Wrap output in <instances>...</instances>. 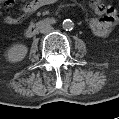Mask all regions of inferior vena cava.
I'll return each instance as SVG.
<instances>
[{
	"label": "inferior vena cava",
	"instance_id": "obj_1",
	"mask_svg": "<svg viewBox=\"0 0 119 119\" xmlns=\"http://www.w3.org/2000/svg\"><path fill=\"white\" fill-rule=\"evenodd\" d=\"M52 26L51 25H49V24H44V25H42L41 27H40V32L41 33H49V32H51L52 31Z\"/></svg>",
	"mask_w": 119,
	"mask_h": 119
}]
</instances>
